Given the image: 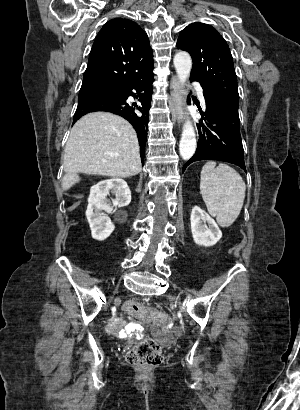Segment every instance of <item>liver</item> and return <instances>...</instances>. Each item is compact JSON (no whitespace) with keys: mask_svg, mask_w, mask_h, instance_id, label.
Wrapping results in <instances>:
<instances>
[{"mask_svg":"<svg viewBox=\"0 0 300 410\" xmlns=\"http://www.w3.org/2000/svg\"><path fill=\"white\" fill-rule=\"evenodd\" d=\"M63 190L80 181L78 173L131 177L141 172L135 130L124 118L108 112L89 113L71 129L63 155Z\"/></svg>","mask_w":300,"mask_h":410,"instance_id":"6515ba94","label":"liver"}]
</instances>
